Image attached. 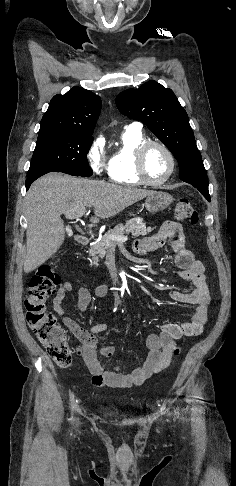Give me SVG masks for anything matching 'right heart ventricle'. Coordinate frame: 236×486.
Listing matches in <instances>:
<instances>
[{
  "instance_id": "obj_1",
  "label": "right heart ventricle",
  "mask_w": 236,
  "mask_h": 486,
  "mask_svg": "<svg viewBox=\"0 0 236 486\" xmlns=\"http://www.w3.org/2000/svg\"><path fill=\"white\" fill-rule=\"evenodd\" d=\"M146 140L141 129L128 127L122 132L120 145L109 158V176L113 182L130 186L143 184L135 172L134 155L137 147Z\"/></svg>"
}]
</instances>
